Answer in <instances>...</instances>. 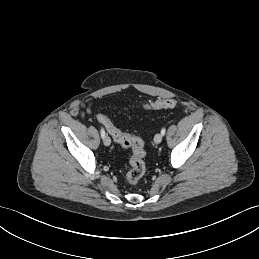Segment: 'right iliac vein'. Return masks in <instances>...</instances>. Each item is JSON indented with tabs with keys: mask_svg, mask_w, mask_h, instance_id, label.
Returning a JSON list of instances; mask_svg holds the SVG:
<instances>
[{
	"mask_svg": "<svg viewBox=\"0 0 259 259\" xmlns=\"http://www.w3.org/2000/svg\"><path fill=\"white\" fill-rule=\"evenodd\" d=\"M103 142L106 146H109L111 144V140L108 135H105V137L103 138Z\"/></svg>",
	"mask_w": 259,
	"mask_h": 259,
	"instance_id": "1",
	"label": "right iliac vein"
}]
</instances>
